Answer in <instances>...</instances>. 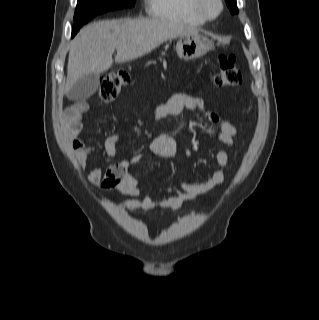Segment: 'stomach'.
I'll return each mask as SVG.
<instances>
[{
	"mask_svg": "<svg viewBox=\"0 0 319 320\" xmlns=\"http://www.w3.org/2000/svg\"><path fill=\"white\" fill-rule=\"evenodd\" d=\"M213 47V42L199 34L181 36L176 44L180 59L193 60L205 55Z\"/></svg>",
	"mask_w": 319,
	"mask_h": 320,
	"instance_id": "obj_1",
	"label": "stomach"
}]
</instances>
